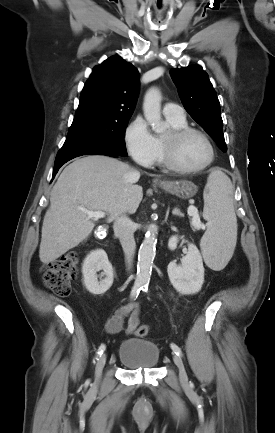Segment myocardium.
I'll return each mask as SVG.
<instances>
[{
	"label": "myocardium",
	"mask_w": 275,
	"mask_h": 433,
	"mask_svg": "<svg viewBox=\"0 0 275 433\" xmlns=\"http://www.w3.org/2000/svg\"><path fill=\"white\" fill-rule=\"evenodd\" d=\"M191 134H199L205 139L210 149V156L204 164L194 168H187L181 166L177 162L175 150L179 142ZM162 147L164 164L172 171L181 174H192L205 170L213 163L216 155L215 146L211 137L205 131L196 127L186 126L178 129H172L168 133V136L162 139Z\"/></svg>",
	"instance_id": "1"
}]
</instances>
